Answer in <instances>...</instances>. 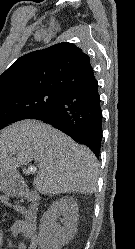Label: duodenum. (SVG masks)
I'll use <instances>...</instances> for the list:
<instances>
[{"label":"duodenum","instance_id":"1","mask_svg":"<svg viewBox=\"0 0 135 249\" xmlns=\"http://www.w3.org/2000/svg\"><path fill=\"white\" fill-rule=\"evenodd\" d=\"M24 198L30 203L29 207L36 210L38 209L40 197L38 193L31 188H24L22 191Z\"/></svg>","mask_w":135,"mask_h":249}]
</instances>
